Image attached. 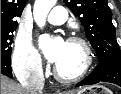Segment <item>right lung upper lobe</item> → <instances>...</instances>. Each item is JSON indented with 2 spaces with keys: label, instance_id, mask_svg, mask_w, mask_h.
<instances>
[{
  "label": "right lung upper lobe",
  "instance_id": "cb5924a9",
  "mask_svg": "<svg viewBox=\"0 0 121 94\" xmlns=\"http://www.w3.org/2000/svg\"><path fill=\"white\" fill-rule=\"evenodd\" d=\"M27 0H1V31L15 30L18 22L13 18L21 16Z\"/></svg>",
  "mask_w": 121,
  "mask_h": 94
}]
</instances>
